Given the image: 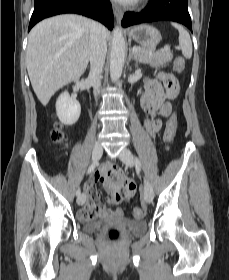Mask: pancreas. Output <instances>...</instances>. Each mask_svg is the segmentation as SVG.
<instances>
[{
  "mask_svg": "<svg viewBox=\"0 0 229 280\" xmlns=\"http://www.w3.org/2000/svg\"><path fill=\"white\" fill-rule=\"evenodd\" d=\"M134 59L140 63L150 64L154 67L163 66L170 62L173 54L170 49H161L158 51L140 48L139 52H134Z\"/></svg>",
  "mask_w": 229,
  "mask_h": 280,
  "instance_id": "cf45deb5",
  "label": "pancreas"
}]
</instances>
